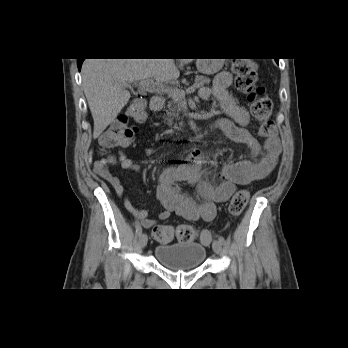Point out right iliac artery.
Listing matches in <instances>:
<instances>
[{"mask_svg":"<svg viewBox=\"0 0 348 348\" xmlns=\"http://www.w3.org/2000/svg\"><path fill=\"white\" fill-rule=\"evenodd\" d=\"M136 233L138 236H140L142 233V227L139 224L136 225Z\"/></svg>","mask_w":348,"mask_h":348,"instance_id":"1","label":"right iliac artery"}]
</instances>
